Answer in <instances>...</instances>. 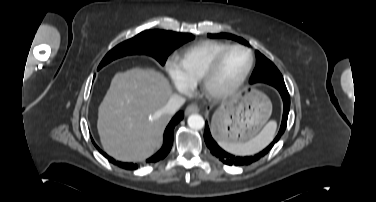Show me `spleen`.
I'll use <instances>...</instances> for the list:
<instances>
[{
    "label": "spleen",
    "instance_id": "obj_1",
    "mask_svg": "<svg viewBox=\"0 0 376 202\" xmlns=\"http://www.w3.org/2000/svg\"><path fill=\"white\" fill-rule=\"evenodd\" d=\"M276 128V121H270L256 137L247 142L229 143L219 141L218 143L224 150L231 154L240 156L252 155L264 149L273 140Z\"/></svg>",
    "mask_w": 376,
    "mask_h": 202
}]
</instances>
